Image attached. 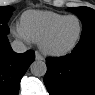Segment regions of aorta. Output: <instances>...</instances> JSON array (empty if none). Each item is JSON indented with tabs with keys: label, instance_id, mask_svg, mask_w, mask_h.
Here are the masks:
<instances>
[{
	"label": "aorta",
	"instance_id": "1",
	"mask_svg": "<svg viewBox=\"0 0 95 95\" xmlns=\"http://www.w3.org/2000/svg\"><path fill=\"white\" fill-rule=\"evenodd\" d=\"M30 71L32 75L41 77L44 76L47 72V66L46 63L42 60H35L31 65H30Z\"/></svg>",
	"mask_w": 95,
	"mask_h": 95
}]
</instances>
